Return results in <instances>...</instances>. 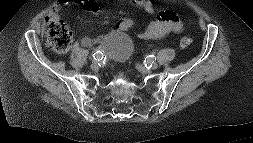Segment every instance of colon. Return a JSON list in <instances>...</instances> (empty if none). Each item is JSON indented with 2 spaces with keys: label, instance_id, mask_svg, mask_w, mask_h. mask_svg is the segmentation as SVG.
<instances>
[{
  "label": "colon",
  "instance_id": "5ec220e1",
  "mask_svg": "<svg viewBox=\"0 0 253 143\" xmlns=\"http://www.w3.org/2000/svg\"><path fill=\"white\" fill-rule=\"evenodd\" d=\"M43 40L45 44L58 53L66 52L72 43V32L70 28L58 19L48 18L44 25ZM192 42L190 37L180 40L182 48L188 47Z\"/></svg>",
  "mask_w": 253,
  "mask_h": 143
}]
</instances>
